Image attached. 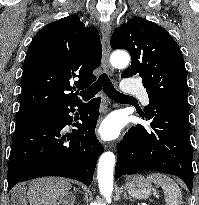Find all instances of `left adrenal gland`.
I'll use <instances>...</instances> for the list:
<instances>
[{
	"instance_id": "left-adrenal-gland-1",
	"label": "left adrenal gland",
	"mask_w": 199,
	"mask_h": 205,
	"mask_svg": "<svg viewBox=\"0 0 199 205\" xmlns=\"http://www.w3.org/2000/svg\"><path fill=\"white\" fill-rule=\"evenodd\" d=\"M124 199L132 200L130 197L127 196L126 192L124 193Z\"/></svg>"
}]
</instances>
